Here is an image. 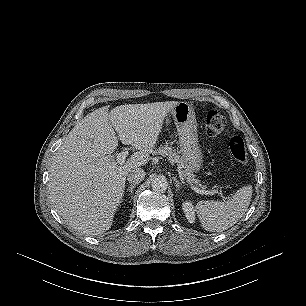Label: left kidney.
I'll return each mask as SVG.
<instances>
[{
  "label": "left kidney",
  "mask_w": 306,
  "mask_h": 306,
  "mask_svg": "<svg viewBox=\"0 0 306 306\" xmlns=\"http://www.w3.org/2000/svg\"><path fill=\"white\" fill-rule=\"evenodd\" d=\"M182 209L185 213V216L189 223H194L195 221V212L193 208V204L190 201H185L182 204Z\"/></svg>",
  "instance_id": "obj_1"
}]
</instances>
